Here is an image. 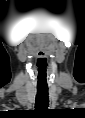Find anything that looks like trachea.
Listing matches in <instances>:
<instances>
[{
	"label": "trachea",
	"instance_id": "trachea-1",
	"mask_svg": "<svg viewBox=\"0 0 85 118\" xmlns=\"http://www.w3.org/2000/svg\"><path fill=\"white\" fill-rule=\"evenodd\" d=\"M48 103H49L48 90L38 88L36 94V102H35L36 109L38 110L45 109L47 108Z\"/></svg>",
	"mask_w": 85,
	"mask_h": 118
}]
</instances>
